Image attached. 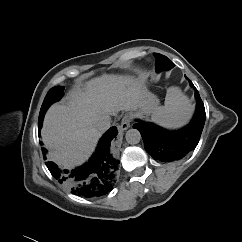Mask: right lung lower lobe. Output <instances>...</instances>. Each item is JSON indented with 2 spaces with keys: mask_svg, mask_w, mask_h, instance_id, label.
I'll return each mask as SVG.
<instances>
[{
  "mask_svg": "<svg viewBox=\"0 0 242 242\" xmlns=\"http://www.w3.org/2000/svg\"><path fill=\"white\" fill-rule=\"evenodd\" d=\"M42 121L39 123V129L42 127ZM116 135V127L109 129L100 139L90 160L80 167L61 168L51 161L46 162V166L59 183L70 188L71 193L85 198L102 196L111 189L110 183L117 169L118 161L110 154V142ZM42 152L45 157L46 149L43 148Z\"/></svg>",
  "mask_w": 242,
  "mask_h": 242,
  "instance_id": "1",
  "label": "right lung lower lobe"
}]
</instances>
